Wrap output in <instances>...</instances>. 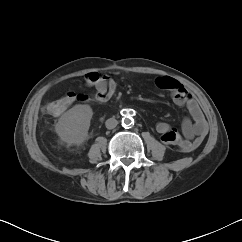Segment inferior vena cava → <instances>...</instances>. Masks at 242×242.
<instances>
[{
  "label": "inferior vena cava",
  "instance_id": "inferior-vena-cava-1",
  "mask_svg": "<svg viewBox=\"0 0 242 242\" xmlns=\"http://www.w3.org/2000/svg\"><path fill=\"white\" fill-rule=\"evenodd\" d=\"M118 124V121L115 118H109L106 120L105 125L107 129H114Z\"/></svg>",
  "mask_w": 242,
  "mask_h": 242
}]
</instances>
